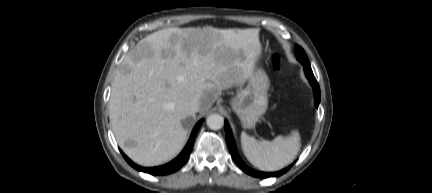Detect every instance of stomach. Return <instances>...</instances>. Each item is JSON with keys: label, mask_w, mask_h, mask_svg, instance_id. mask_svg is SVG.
<instances>
[{"label": "stomach", "mask_w": 432, "mask_h": 193, "mask_svg": "<svg viewBox=\"0 0 432 193\" xmlns=\"http://www.w3.org/2000/svg\"><path fill=\"white\" fill-rule=\"evenodd\" d=\"M270 79L261 66L255 65L247 86L230 100L233 111L244 128L254 127L268 107Z\"/></svg>", "instance_id": "obj_1"}]
</instances>
